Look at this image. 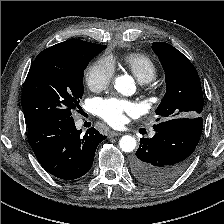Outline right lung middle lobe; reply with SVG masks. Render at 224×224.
<instances>
[{
	"label": "right lung middle lobe",
	"instance_id": "1",
	"mask_svg": "<svg viewBox=\"0 0 224 224\" xmlns=\"http://www.w3.org/2000/svg\"><path fill=\"white\" fill-rule=\"evenodd\" d=\"M106 48L94 46L77 55H38L30 67L22 92L27 127L46 120L73 119L83 96L84 69Z\"/></svg>",
	"mask_w": 224,
	"mask_h": 224
}]
</instances>
